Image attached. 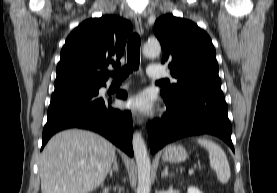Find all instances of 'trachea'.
<instances>
[{
	"label": "trachea",
	"instance_id": "trachea-1",
	"mask_svg": "<svg viewBox=\"0 0 277 193\" xmlns=\"http://www.w3.org/2000/svg\"><path fill=\"white\" fill-rule=\"evenodd\" d=\"M127 65L124 67H118L115 72L111 74L114 81L124 80L133 70H138L140 63V36L134 33L130 36L127 44ZM159 82H167V80H161Z\"/></svg>",
	"mask_w": 277,
	"mask_h": 193
}]
</instances>
